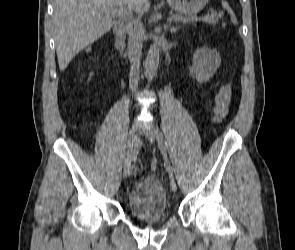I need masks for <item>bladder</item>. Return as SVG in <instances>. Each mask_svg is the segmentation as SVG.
Returning <instances> with one entry per match:
<instances>
[{"instance_id": "bladder-1", "label": "bladder", "mask_w": 295, "mask_h": 250, "mask_svg": "<svg viewBox=\"0 0 295 250\" xmlns=\"http://www.w3.org/2000/svg\"><path fill=\"white\" fill-rule=\"evenodd\" d=\"M127 205L136 219H162L166 215L168 202L160 180L152 175L138 182L129 194Z\"/></svg>"}]
</instances>
